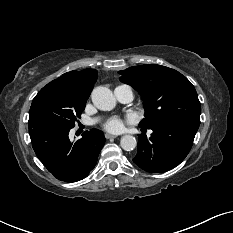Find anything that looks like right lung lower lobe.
I'll return each instance as SVG.
<instances>
[{
    "mask_svg": "<svg viewBox=\"0 0 233 233\" xmlns=\"http://www.w3.org/2000/svg\"><path fill=\"white\" fill-rule=\"evenodd\" d=\"M70 129L40 124L29 128V134L38 159L48 171L61 181L75 182L95 167L105 137L102 131L91 129L73 143L68 136Z\"/></svg>",
    "mask_w": 233,
    "mask_h": 233,
    "instance_id": "98d812e1",
    "label": "right lung lower lobe"
}]
</instances>
